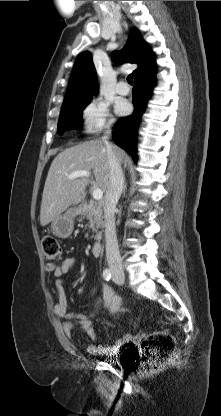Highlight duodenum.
I'll return each mask as SVG.
<instances>
[{
	"label": "duodenum",
	"mask_w": 221,
	"mask_h": 416,
	"mask_svg": "<svg viewBox=\"0 0 221 416\" xmlns=\"http://www.w3.org/2000/svg\"><path fill=\"white\" fill-rule=\"evenodd\" d=\"M101 248H102V241L100 239L93 241V243L91 244V248H90L91 255H93L94 257H98L101 253Z\"/></svg>",
	"instance_id": "410a0bca"
}]
</instances>
